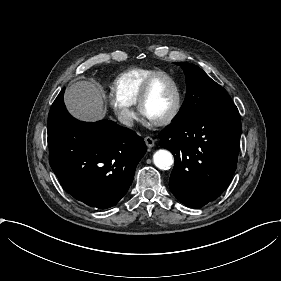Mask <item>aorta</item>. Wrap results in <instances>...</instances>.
<instances>
[{"mask_svg":"<svg viewBox=\"0 0 281 281\" xmlns=\"http://www.w3.org/2000/svg\"><path fill=\"white\" fill-rule=\"evenodd\" d=\"M153 162L159 169L167 170L173 165L174 158L170 151L160 149L154 153Z\"/></svg>","mask_w":281,"mask_h":281,"instance_id":"aorta-1","label":"aorta"}]
</instances>
